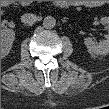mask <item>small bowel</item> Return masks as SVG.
Here are the masks:
<instances>
[{
  "label": "small bowel",
  "instance_id": "1",
  "mask_svg": "<svg viewBox=\"0 0 109 109\" xmlns=\"http://www.w3.org/2000/svg\"><path fill=\"white\" fill-rule=\"evenodd\" d=\"M85 5H87V6H96V5H98V3L97 2H87V3H85Z\"/></svg>",
  "mask_w": 109,
  "mask_h": 109
}]
</instances>
